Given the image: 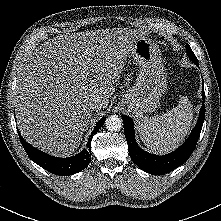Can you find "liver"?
<instances>
[{
    "label": "liver",
    "mask_w": 221,
    "mask_h": 221,
    "mask_svg": "<svg viewBox=\"0 0 221 221\" xmlns=\"http://www.w3.org/2000/svg\"><path fill=\"white\" fill-rule=\"evenodd\" d=\"M141 38L114 28L60 35L26 59L15 89L18 128L31 145L57 157L78 148L98 100L105 109L127 54Z\"/></svg>",
    "instance_id": "obj_1"
}]
</instances>
